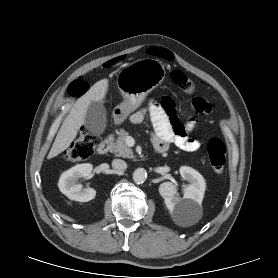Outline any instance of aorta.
<instances>
[{
    "instance_id": "obj_1",
    "label": "aorta",
    "mask_w": 278,
    "mask_h": 278,
    "mask_svg": "<svg viewBox=\"0 0 278 278\" xmlns=\"http://www.w3.org/2000/svg\"><path fill=\"white\" fill-rule=\"evenodd\" d=\"M147 179V172L144 168H137L133 172V180L137 184H142L146 181Z\"/></svg>"
}]
</instances>
